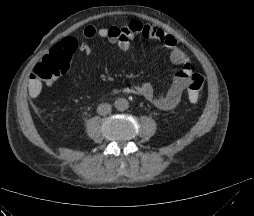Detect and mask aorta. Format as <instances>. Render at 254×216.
Returning a JSON list of instances; mask_svg holds the SVG:
<instances>
[{
    "label": "aorta",
    "instance_id": "762f6f07",
    "mask_svg": "<svg viewBox=\"0 0 254 216\" xmlns=\"http://www.w3.org/2000/svg\"><path fill=\"white\" fill-rule=\"evenodd\" d=\"M114 106L119 111H125L129 108V102L125 98H118L115 100Z\"/></svg>",
    "mask_w": 254,
    "mask_h": 216
}]
</instances>
